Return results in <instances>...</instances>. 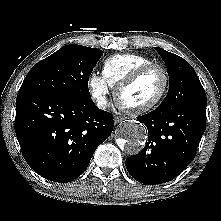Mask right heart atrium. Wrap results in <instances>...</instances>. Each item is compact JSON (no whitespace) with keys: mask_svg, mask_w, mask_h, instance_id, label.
<instances>
[{"mask_svg":"<svg viewBox=\"0 0 221 221\" xmlns=\"http://www.w3.org/2000/svg\"><path fill=\"white\" fill-rule=\"evenodd\" d=\"M88 86L92 98L100 108H105L108 104L110 85L102 75L92 72L88 78Z\"/></svg>","mask_w":221,"mask_h":221,"instance_id":"1","label":"right heart atrium"}]
</instances>
